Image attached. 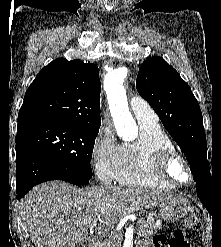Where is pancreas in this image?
Here are the masks:
<instances>
[{
    "label": "pancreas",
    "mask_w": 221,
    "mask_h": 247,
    "mask_svg": "<svg viewBox=\"0 0 221 247\" xmlns=\"http://www.w3.org/2000/svg\"><path fill=\"white\" fill-rule=\"evenodd\" d=\"M158 228L157 224L155 223V220L152 217H148L145 219H140L137 222V225L135 227L138 236L140 237H146L151 236ZM120 240L118 237H109L108 239L102 241L99 244V247H119Z\"/></svg>",
    "instance_id": "cf45deb5"
}]
</instances>
